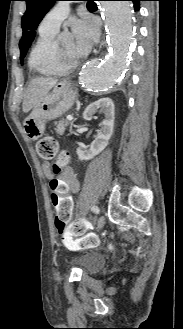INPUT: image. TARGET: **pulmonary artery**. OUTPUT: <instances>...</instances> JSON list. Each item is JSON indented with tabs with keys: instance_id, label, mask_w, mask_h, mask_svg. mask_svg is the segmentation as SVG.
<instances>
[{
	"instance_id": "1",
	"label": "pulmonary artery",
	"mask_w": 183,
	"mask_h": 329,
	"mask_svg": "<svg viewBox=\"0 0 183 329\" xmlns=\"http://www.w3.org/2000/svg\"><path fill=\"white\" fill-rule=\"evenodd\" d=\"M70 12L71 9L67 2H59L45 15L39 30L56 33L61 23L69 16Z\"/></svg>"
}]
</instances>
